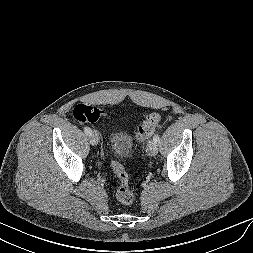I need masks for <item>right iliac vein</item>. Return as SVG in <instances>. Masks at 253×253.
Wrapping results in <instances>:
<instances>
[{
	"label": "right iliac vein",
	"instance_id": "63e3f726",
	"mask_svg": "<svg viewBox=\"0 0 253 253\" xmlns=\"http://www.w3.org/2000/svg\"><path fill=\"white\" fill-rule=\"evenodd\" d=\"M89 142L91 145L95 146L98 144L99 142V136L96 132H92L90 135H89Z\"/></svg>",
	"mask_w": 253,
	"mask_h": 253
}]
</instances>
